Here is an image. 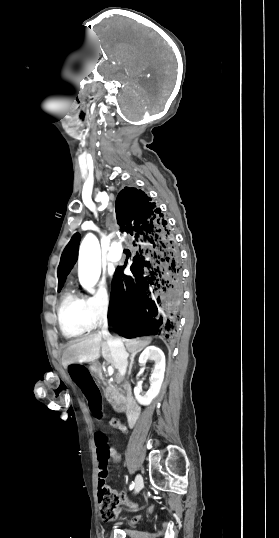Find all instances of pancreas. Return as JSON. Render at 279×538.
Here are the masks:
<instances>
[{
  "instance_id": "1",
  "label": "pancreas",
  "mask_w": 279,
  "mask_h": 538,
  "mask_svg": "<svg viewBox=\"0 0 279 538\" xmlns=\"http://www.w3.org/2000/svg\"><path fill=\"white\" fill-rule=\"evenodd\" d=\"M103 392L109 402V404H112V406H116L117 402L123 398L121 396L119 390L115 388V386H112L111 382H107L105 388H103Z\"/></svg>"
}]
</instances>
